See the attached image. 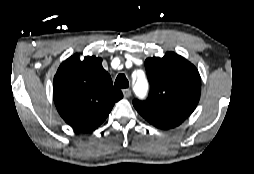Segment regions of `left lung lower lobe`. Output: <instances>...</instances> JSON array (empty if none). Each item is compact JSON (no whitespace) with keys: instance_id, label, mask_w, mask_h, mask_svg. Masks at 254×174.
I'll use <instances>...</instances> for the list:
<instances>
[{"instance_id":"1","label":"left lung lower lobe","mask_w":254,"mask_h":174,"mask_svg":"<svg viewBox=\"0 0 254 174\" xmlns=\"http://www.w3.org/2000/svg\"><path fill=\"white\" fill-rule=\"evenodd\" d=\"M149 123L154 125L155 127H158L160 129H171L174 128L181 123L171 121V120H165V119H158L155 117H144Z\"/></svg>"}]
</instances>
